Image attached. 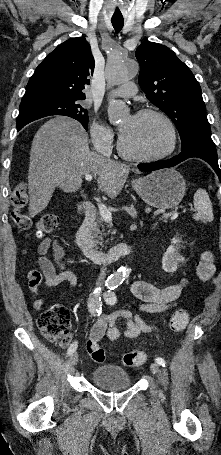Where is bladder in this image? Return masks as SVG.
I'll return each mask as SVG.
<instances>
[{"label": "bladder", "mask_w": 221, "mask_h": 455, "mask_svg": "<svg viewBox=\"0 0 221 455\" xmlns=\"http://www.w3.org/2000/svg\"><path fill=\"white\" fill-rule=\"evenodd\" d=\"M89 375L95 386L107 391L125 389L132 384L128 372L117 365L96 367L90 371Z\"/></svg>", "instance_id": "bladder-1"}]
</instances>
